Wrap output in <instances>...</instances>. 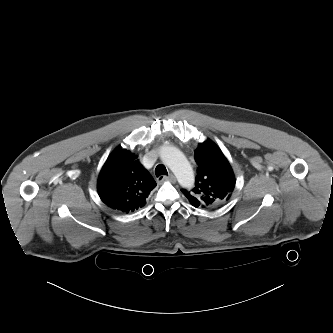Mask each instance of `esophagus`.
Masks as SVG:
<instances>
[{
	"instance_id": "34e87169",
	"label": "esophagus",
	"mask_w": 333,
	"mask_h": 333,
	"mask_svg": "<svg viewBox=\"0 0 333 333\" xmlns=\"http://www.w3.org/2000/svg\"><path fill=\"white\" fill-rule=\"evenodd\" d=\"M165 181H169V182H175L176 181V178L174 175H169V176H159L157 178V182L159 184L165 182Z\"/></svg>"
}]
</instances>
